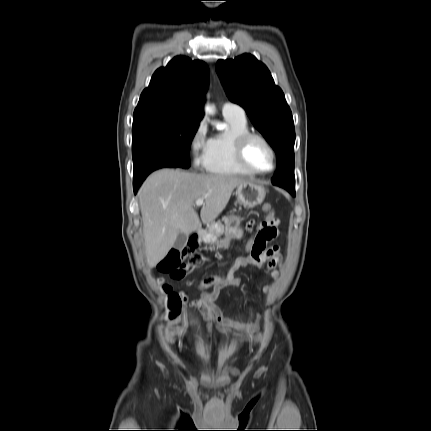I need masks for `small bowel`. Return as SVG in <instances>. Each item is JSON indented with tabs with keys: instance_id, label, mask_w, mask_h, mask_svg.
<instances>
[{
	"instance_id": "small-bowel-1",
	"label": "small bowel",
	"mask_w": 431,
	"mask_h": 431,
	"mask_svg": "<svg viewBox=\"0 0 431 431\" xmlns=\"http://www.w3.org/2000/svg\"><path fill=\"white\" fill-rule=\"evenodd\" d=\"M279 221L275 219L272 223L261 222L256 227V235L254 247L250 254H246L237 258L230 268L224 272H213L211 276L206 277L198 285V289L202 292L198 299L192 302V305L201 309L204 312L208 322V329L211 332L213 329L219 331H228L230 329L238 331V336L243 340H249L255 346L260 339L259 323H244L238 320L224 317L215 305L216 299L221 291L228 287L238 286L240 279L236 277V272L246 266H254L264 270L270 275L275 274V266L279 261V246L267 245L277 237V226ZM268 230V233H264ZM212 287L211 291H206ZM269 286L264 287V291L268 292ZM187 328L173 322L167 326L166 338L172 344L180 345L186 338Z\"/></svg>"
}]
</instances>
